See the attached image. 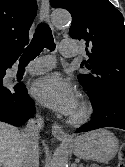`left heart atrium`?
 <instances>
[{
	"mask_svg": "<svg viewBox=\"0 0 125 167\" xmlns=\"http://www.w3.org/2000/svg\"><path fill=\"white\" fill-rule=\"evenodd\" d=\"M31 93L39 103L64 115L72 114L77 108L78 98L73 84L56 72L36 80Z\"/></svg>",
	"mask_w": 125,
	"mask_h": 167,
	"instance_id": "1",
	"label": "left heart atrium"
}]
</instances>
